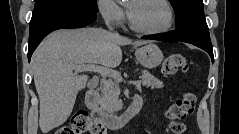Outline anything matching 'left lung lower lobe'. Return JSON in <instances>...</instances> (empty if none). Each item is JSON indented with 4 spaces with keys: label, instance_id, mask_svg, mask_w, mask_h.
<instances>
[{
    "label": "left lung lower lobe",
    "instance_id": "left-lung-lower-lobe-1",
    "mask_svg": "<svg viewBox=\"0 0 239 134\" xmlns=\"http://www.w3.org/2000/svg\"><path fill=\"white\" fill-rule=\"evenodd\" d=\"M143 39L187 42L205 50L210 55L212 62L214 61L207 25H189L175 31L143 36Z\"/></svg>",
    "mask_w": 239,
    "mask_h": 134
}]
</instances>
